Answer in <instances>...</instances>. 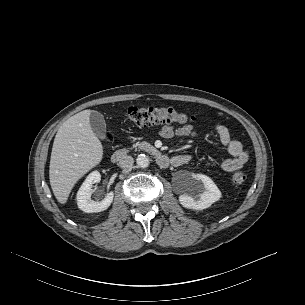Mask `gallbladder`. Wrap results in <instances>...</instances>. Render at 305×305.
I'll use <instances>...</instances> for the list:
<instances>
[{"instance_id":"1","label":"gallbladder","mask_w":305,"mask_h":305,"mask_svg":"<svg viewBox=\"0 0 305 305\" xmlns=\"http://www.w3.org/2000/svg\"><path fill=\"white\" fill-rule=\"evenodd\" d=\"M90 125L92 131L98 138L100 139L106 138V134H107L106 122L104 116L101 113H99L98 111H93L90 114Z\"/></svg>"}]
</instances>
